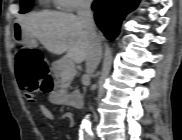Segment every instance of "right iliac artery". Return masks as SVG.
<instances>
[{
    "label": "right iliac artery",
    "mask_w": 182,
    "mask_h": 140,
    "mask_svg": "<svg viewBox=\"0 0 182 140\" xmlns=\"http://www.w3.org/2000/svg\"><path fill=\"white\" fill-rule=\"evenodd\" d=\"M93 138L92 137H90V138H86V140H92ZM80 140H82V139H80Z\"/></svg>",
    "instance_id": "82829eb1"
}]
</instances>
